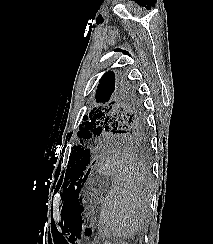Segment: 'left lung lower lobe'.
<instances>
[{"mask_svg": "<svg viewBox=\"0 0 213 244\" xmlns=\"http://www.w3.org/2000/svg\"><path fill=\"white\" fill-rule=\"evenodd\" d=\"M95 162H93L92 164H94ZM89 171L90 169L86 172V174H84L79 186H78V189L84 184V182L86 181L87 177H88V174H89Z\"/></svg>", "mask_w": 213, "mask_h": 244, "instance_id": "0a47b994", "label": "left lung lower lobe"}]
</instances>
